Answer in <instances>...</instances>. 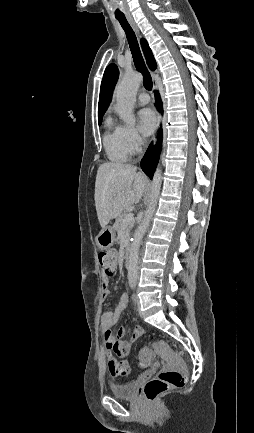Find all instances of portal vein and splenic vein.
Wrapping results in <instances>:
<instances>
[{
	"label": "portal vein and splenic vein",
	"instance_id": "1",
	"mask_svg": "<svg viewBox=\"0 0 254 433\" xmlns=\"http://www.w3.org/2000/svg\"><path fill=\"white\" fill-rule=\"evenodd\" d=\"M133 217H134V214H133V213H129V214H127L126 217H125L124 220H123L124 224H127V223L132 222Z\"/></svg>",
	"mask_w": 254,
	"mask_h": 433
}]
</instances>
